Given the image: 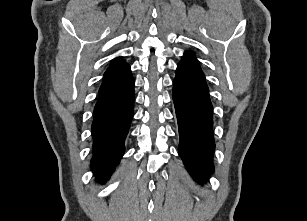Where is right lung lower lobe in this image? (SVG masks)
<instances>
[{
    "instance_id": "1",
    "label": "right lung lower lobe",
    "mask_w": 307,
    "mask_h": 221,
    "mask_svg": "<svg viewBox=\"0 0 307 221\" xmlns=\"http://www.w3.org/2000/svg\"><path fill=\"white\" fill-rule=\"evenodd\" d=\"M133 78L122 86L99 92L92 124L93 158L96 177L104 182L124 154V141L133 117Z\"/></svg>"
}]
</instances>
